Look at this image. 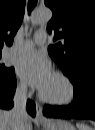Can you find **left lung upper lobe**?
<instances>
[{"label":"left lung upper lobe","mask_w":95,"mask_h":130,"mask_svg":"<svg viewBox=\"0 0 95 130\" xmlns=\"http://www.w3.org/2000/svg\"><path fill=\"white\" fill-rule=\"evenodd\" d=\"M53 15L47 24L54 41L49 55L72 83L95 71V0H44Z\"/></svg>","instance_id":"1"}]
</instances>
